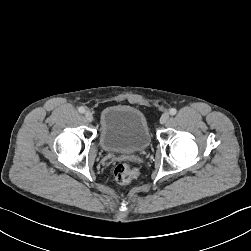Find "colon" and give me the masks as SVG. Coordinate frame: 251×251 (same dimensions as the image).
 <instances>
[{
    "label": "colon",
    "mask_w": 251,
    "mask_h": 251,
    "mask_svg": "<svg viewBox=\"0 0 251 251\" xmlns=\"http://www.w3.org/2000/svg\"><path fill=\"white\" fill-rule=\"evenodd\" d=\"M114 176L117 182L127 184L138 178L139 170L134 165L120 163L115 167Z\"/></svg>",
    "instance_id": "colon-1"
}]
</instances>
